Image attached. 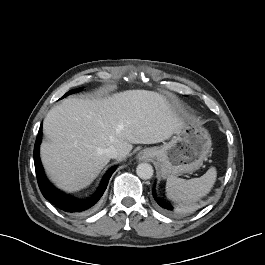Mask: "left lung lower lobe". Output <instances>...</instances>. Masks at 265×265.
<instances>
[{"instance_id":"1","label":"left lung lower lobe","mask_w":265,"mask_h":265,"mask_svg":"<svg viewBox=\"0 0 265 265\" xmlns=\"http://www.w3.org/2000/svg\"><path fill=\"white\" fill-rule=\"evenodd\" d=\"M153 197L157 202V204L160 206L161 210H163L166 213H171L174 211V206L170 202L157 197L155 190H153Z\"/></svg>"}]
</instances>
